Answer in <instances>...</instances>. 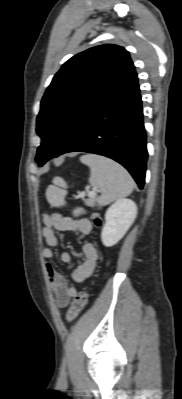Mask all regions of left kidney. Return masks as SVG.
<instances>
[{"label": "left kidney", "instance_id": "left-kidney-1", "mask_svg": "<svg viewBox=\"0 0 182 399\" xmlns=\"http://www.w3.org/2000/svg\"><path fill=\"white\" fill-rule=\"evenodd\" d=\"M137 215V205L131 199H118L105 214V225L101 232L104 246L117 244L133 224Z\"/></svg>", "mask_w": 182, "mask_h": 399}]
</instances>
